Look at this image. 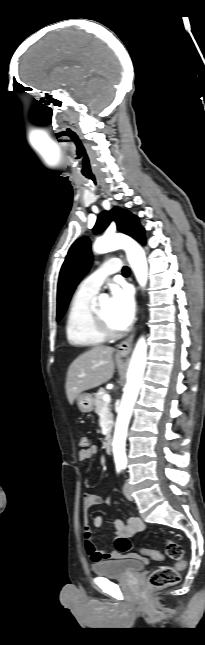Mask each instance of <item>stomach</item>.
<instances>
[{
	"mask_svg": "<svg viewBox=\"0 0 205 645\" xmlns=\"http://www.w3.org/2000/svg\"><path fill=\"white\" fill-rule=\"evenodd\" d=\"M78 408L83 413H89L94 409V397L89 393H82L76 397Z\"/></svg>",
	"mask_w": 205,
	"mask_h": 645,
	"instance_id": "obj_1",
	"label": "stomach"
}]
</instances>
